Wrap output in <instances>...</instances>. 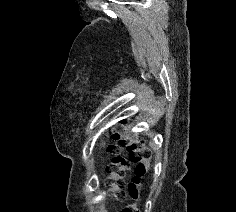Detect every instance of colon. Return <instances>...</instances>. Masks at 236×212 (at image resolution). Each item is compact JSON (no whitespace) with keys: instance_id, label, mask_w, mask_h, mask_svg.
I'll return each mask as SVG.
<instances>
[{"instance_id":"5ec220e1","label":"colon","mask_w":236,"mask_h":212,"mask_svg":"<svg viewBox=\"0 0 236 212\" xmlns=\"http://www.w3.org/2000/svg\"><path fill=\"white\" fill-rule=\"evenodd\" d=\"M114 139L126 146L128 154L127 156L115 154L117 150L115 146L108 148V152L114 154L108 167V177L106 179L110 198L114 201H121L125 198L126 192L123 190V179L130 166L134 165V176L128 185V195L132 203L125 206L121 212H139L137 201L140 198L142 178L150 168V151L146 148L143 140L123 141L120 136H115Z\"/></svg>"}]
</instances>
